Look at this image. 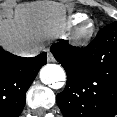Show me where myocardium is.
<instances>
[{"mask_svg":"<svg viewBox=\"0 0 117 117\" xmlns=\"http://www.w3.org/2000/svg\"><path fill=\"white\" fill-rule=\"evenodd\" d=\"M94 31V23L92 21H86L77 29L75 33V40L77 41V43L82 44L92 37Z\"/></svg>","mask_w":117,"mask_h":117,"instance_id":"f54148a6","label":"myocardium"}]
</instances>
